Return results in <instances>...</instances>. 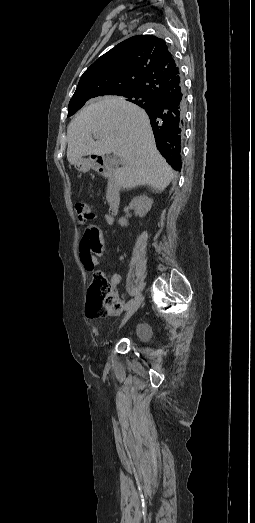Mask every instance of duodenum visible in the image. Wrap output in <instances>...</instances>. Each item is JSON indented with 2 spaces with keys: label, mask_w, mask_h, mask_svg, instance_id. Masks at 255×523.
<instances>
[{
  "label": "duodenum",
  "mask_w": 255,
  "mask_h": 523,
  "mask_svg": "<svg viewBox=\"0 0 255 523\" xmlns=\"http://www.w3.org/2000/svg\"><path fill=\"white\" fill-rule=\"evenodd\" d=\"M87 167L96 173L107 178L106 201L109 207V220L111 224L114 216L117 214L121 201V186L116 174L114 165L105 157L100 155H91L87 162Z\"/></svg>",
  "instance_id": "1"
}]
</instances>
